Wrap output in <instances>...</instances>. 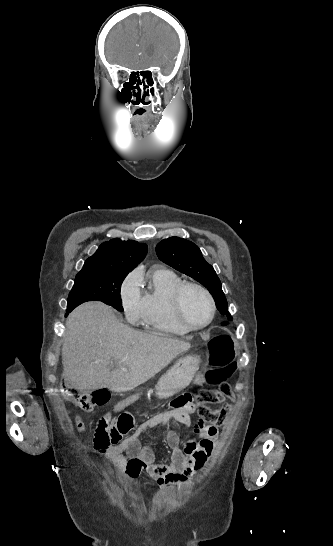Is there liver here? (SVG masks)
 I'll use <instances>...</instances> for the list:
<instances>
[{
  "label": "liver",
  "mask_w": 333,
  "mask_h": 546,
  "mask_svg": "<svg viewBox=\"0 0 333 546\" xmlns=\"http://www.w3.org/2000/svg\"><path fill=\"white\" fill-rule=\"evenodd\" d=\"M66 328L63 376L76 390H132L191 347L179 339L135 331L123 325L109 306L97 301L74 309ZM111 360L118 364L113 371Z\"/></svg>",
  "instance_id": "obj_1"
}]
</instances>
